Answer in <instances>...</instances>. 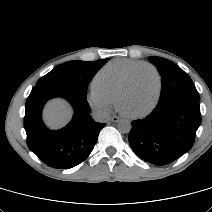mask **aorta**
Instances as JSON below:
<instances>
[{
	"label": "aorta",
	"mask_w": 212,
	"mask_h": 212,
	"mask_svg": "<svg viewBox=\"0 0 212 212\" xmlns=\"http://www.w3.org/2000/svg\"><path fill=\"white\" fill-rule=\"evenodd\" d=\"M131 123L129 120H121L119 123H118V130L121 132V133H129L130 130H131Z\"/></svg>",
	"instance_id": "1"
}]
</instances>
